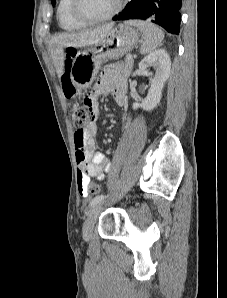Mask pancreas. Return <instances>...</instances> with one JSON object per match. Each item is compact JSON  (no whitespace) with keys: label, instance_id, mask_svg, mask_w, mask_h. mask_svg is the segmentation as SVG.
<instances>
[{"label":"pancreas","instance_id":"1","mask_svg":"<svg viewBox=\"0 0 227 298\" xmlns=\"http://www.w3.org/2000/svg\"><path fill=\"white\" fill-rule=\"evenodd\" d=\"M133 59L128 60L127 58L124 61L117 62L113 64V66L121 71L125 75H130L133 68Z\"/></svg>","mask_w":227,"mask_h":298}]
</instances>
